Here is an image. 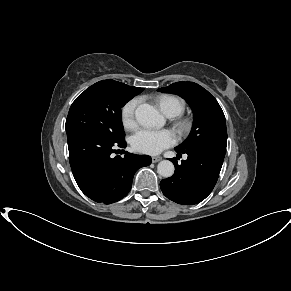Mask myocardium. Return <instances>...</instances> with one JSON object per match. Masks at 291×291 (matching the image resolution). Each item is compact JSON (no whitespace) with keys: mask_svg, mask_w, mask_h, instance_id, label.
<instances>
[{"mask_svg":"<svg viewBox=\"0 0 291 291\" xmlns=\"http://www.w3.org/2000/svg\"><path fill=\"white\" fill-rule=\"evenodd\" d=\"M175 128L180 135H186L192 129V121L189 118H178L175 122Z\"/></svg>","mask_w":291,"mask_h":291,"instance_id":"obj_1","label":"myocardium"}]
</instances>
